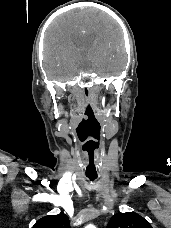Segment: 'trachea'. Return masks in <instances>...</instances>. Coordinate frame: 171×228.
Here are the masks:
<instances>
[{"label":"trachea","mask_w":171,"mask_h":228,"mask_svg":"<svg viewBox=\"0 0 171 228\" xmlns=\"http://www.w3.org/2000/svg\"><path fill=\"white\" fill-rule=\"evenodd\" d=\"M87 177L90 179V180H95L97 178V176H91V175H87Z\"/></svg>","instance_id":"1"}]
</instances>
